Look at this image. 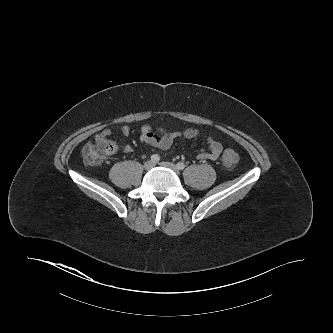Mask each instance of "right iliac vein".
<instances>
[{
  "label": "right iliac vein",
  "instance_id": "obj_1",
  "mask_svg": "<svg viewBox=\"0 0 333 333\" xmlns=\"http://www.w3.org/2000/svg\"><path fill=\"white\" fill-rule=\"evenodd\" d=\"M154 165L155 164L152 161H146L144 163V168H145V170H150V169H152L154 167Z\"/></svg>",
  "mask_w": 333,
  "mask_h": 333
}]
</instances>
